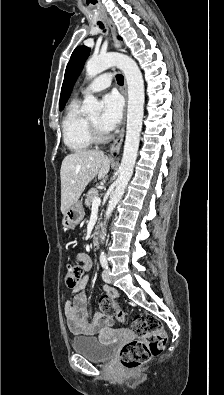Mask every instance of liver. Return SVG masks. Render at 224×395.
<instances>
[{"label":"liver","mask_w":224,"mask_h":395,"mask_svg":"<svg viewBox=\"0 0 224 395\" xmlns=\"http://www.w3.org/2000/svg\"><path fill=\"white\" fill-rule=\"evenodd\" d=\"M111 160L99 150H78L62 161L61 212L76 203L90 181L104 178L110 170Z\"/></svg>","instance_id":"1"}]
</instances>
